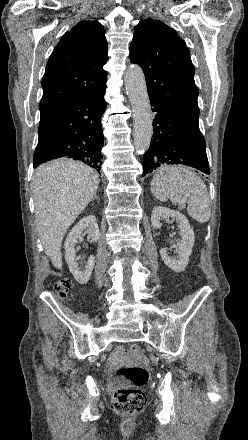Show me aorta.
Here are the masks:
<instances>
[{"mask_svg": "<svg viewBox=\"0 0 248 440\" xmlns=\"http://www.w3.org/2000/svg\"><path fill=\"white\" fill-rule=\"evenodd\" d=\"M125 87L133 111L134 146L136 153H145L153 135L152 113L143 70L131 65L125 72Z\"/></svg>", "mask_w": 248, "mask_h": 440, "instance_id": "762f6f07", "label": "aorta"}]
</instances>
